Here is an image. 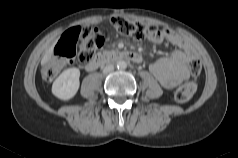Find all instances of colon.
Wrapping results in <instances>:
<instances>
[{
    "mask_svg": "<svg viewBox=\"0 0 238 158\" xmlns=\"http://www.w3.org/2000/svg\"><path fill=\"white\" fill-rule=\"evenodd\" d=\"M115 30L125 37L136 40L153 39L160 35L161 31L155 25L139 21L129 20L123 17L112 19ZM104 42L103 34L96 28L77 26L66 31L57 41L54 55L44 64L42 76L45 80H53L63 67L77 59L81 63L91 61L94 52ZM201 62L193 59L188 63V69L194 77L201 72ZM197 90V83L191 80L179 87L175 92V100L179 103L188 102Z\"/></svg>",
    "mask_w": 238,
    "mask_h": 158,
    "instance_id": "colon-1",
    "label": "colon"
}]
</instances>
